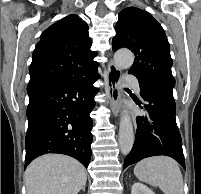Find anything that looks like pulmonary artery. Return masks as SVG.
Returning <instances> with one entry per match:
<instances>
[{
    "mask_svg": "<svg viewBox=\"0 0 201 194\" xmlns=\"http://www.w3.org/2000/svg\"><path fill=\"white\" fill-rule=\"evenodd\" d=\"M124 79H125V81L128 83V84H130L132 87H133V89H134V91L137 93V94H139L140 93V85H139V82H138V80H137V78L136 77H134L133 75H126L125 77H124Z\"/></svg>",
    "mask_w": 201,
    "mask_h": 194,
    "instance_id": "1",
    "label": "pulmonary artery"
}]
</instances>
